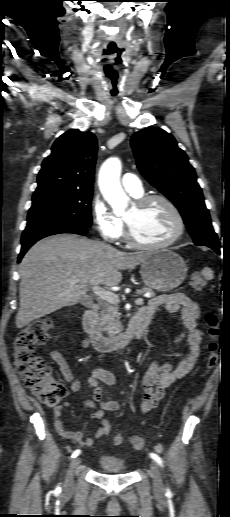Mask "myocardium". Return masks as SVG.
Here are the masks:
<instances>
[{"instance_id":"myocardium-1","label":"myocardium","mask_w":230,"mask_h":517,"mask_svg":"<svg viewBox=\"0 0 230 517\" xmlns=\"http://www.w3.org/2000/svg\"><path fill=\"white\" fill-rule=\"evenodd\" d=\"M153 201H161L164 203L168 209L171 211L174 216L176 222V230L172 236H170L167 240L160 243H144L138 240L134 234L131 225L124 219L125 222V239L129 245L132 247L142 249V250H155L166 248L175 242H177L185 231V221L184 218L177 208V206L166 196L162 194H150L146 196H142L138 198L135 202V205L139 208L146 206L147 204Z\"/></svg>"}]
</instances>
